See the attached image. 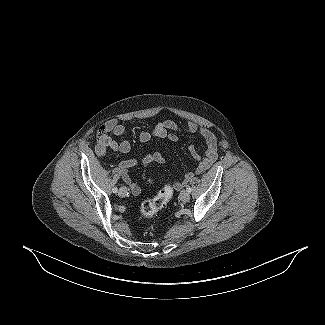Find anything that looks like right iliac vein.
<instances>
[{"label": "right iliac vein", "instance_id": "1", "mask_svg": "<svg viewBox=\"0 0 325 325\" xmlns=\"http://www.w3.org/2000/svg\"><path fill=\"white\" fill-rule=\"evenodd\" d=\"M118 195L120 196V197H125L126 195H127V189H126V187H121L120 189H119V192H118Z\"/></svg>", "mask_w": 325, "mask_h": 325}]
</instances>
